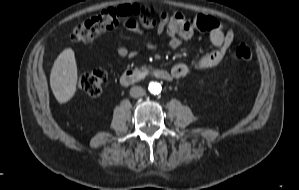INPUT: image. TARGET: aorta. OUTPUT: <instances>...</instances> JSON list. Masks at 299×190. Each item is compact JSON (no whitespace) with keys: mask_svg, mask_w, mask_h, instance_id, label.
Returning <instances> with one entry per match:
<instances>
[{"mask_svg":"<svg viewBox=\"0 0 299 190\" xmlns=\"http://www.w3.org/2000/svg\"><path fill=\"white\" fill-rule=\"evenodd\" d=\"M148 90L150 93L157 95L161 92L162 87L157 82H151V83H149Z\"/></svg>","mask_w":299,"mask_h":190,"instance_id":"1","label":"aorta"}]
</instances>
